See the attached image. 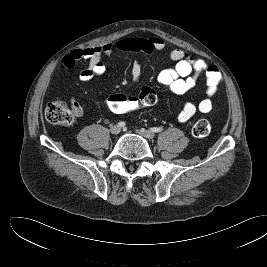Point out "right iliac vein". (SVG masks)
I'll return each instance as SVG.
<instances>
[{
	"mask_svg": "<svg viewBox=\"0 0 267 267\" xmlns=\"http://www.w3.org/2000/svg\"><path fill=\"white\" fill-rule=\"evenodd\" d=\"M120 131H121V128H120L119 126H117V125H114V126H112V127L110 128V132H111L112 134H114V135L119 134Z\"/></svg>",
	"mask_w": 267,
	"mask_h": 267,
	"instance_id": "right-iliac-vein-1",
	"label": "right iliac vein"
}]
</instances>
